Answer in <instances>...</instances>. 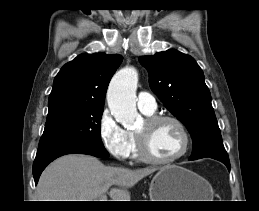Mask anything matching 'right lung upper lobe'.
Masks as SVG:
<instances>
[{
    "label": "right lung upper lobe",
    "instance_id": "cb5924a9",
    "mask_svg": "<svg viewBox=\"0 0 259 211\" xmlns=\"http://www.w3.org/2000/svg\"><path fill=\"white\" fill-rule=\"evenodd\" d=\"M122 59L118 54H81L65 64L53 83L47 120L71 110L104 108L108 84Z\"/></svg>",
    "mask_w": 259,
    "mask_h": 211
}]
</instances>
